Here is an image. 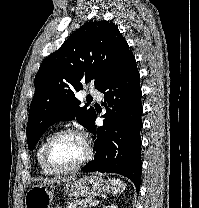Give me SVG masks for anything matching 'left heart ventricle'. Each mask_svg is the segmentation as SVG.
<instances>
[{
    "label": "left heart ventricle",
    "mask_w": 199,
    "mask_h": 208,
    "mask_svg": "<svg viewBox=\"0 0 199 208\" xmlns=\"http://www.w3.org/2000/svg\"><path fill=\"white\" fill-rule=\"evenodd\" d=\"M86 149L78 136L64 135L58 138L51 147L52 162L60 168L71 167L82 160Z\"/></svg>",
    "instance_id": "left-heart-ventricle-1"
}]
</instances>
